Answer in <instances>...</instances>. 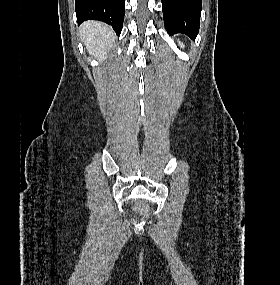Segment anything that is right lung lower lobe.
I'll list each match as a JSON object with an SVG mask.
<instances>
[{"instance_id": "right-lung-lower-lobe-1", "label": "right lung lower lobe", "mask_w": 280, "mask_h": 285, "mask_svg": "<svg viewBox=\"0 0 280 285\" xmlns=\"http://www.w3.org/2000/svg\"><path fill=\"white\" fill-rule=\"evenodd\" d=\"M78 25L93 19L112 26L120 35L125 13V0H75Z\"/></svg>"}]
</instances>
